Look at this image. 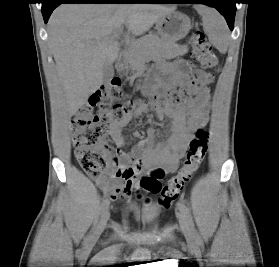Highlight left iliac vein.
<instances>
[{
    "label": "left iliac vein",
    "instance_id": "1",
    "mask_svg": "<svg viewBox=\"0 0 279 267\" xmlns=\"http://www.w3.org/2000/svg\"><path fill=\"white\" fill-rule=\"evenodd\" d=\"M178 219H179V224H180V227H181V230L184 234V236L186 237V239L190 242L193 241V233L189 227V224L188 222L185 220V217L182 213H180L178 215Z\"/></svg>",
    "mask_w": 279,
    "mask_h": 267
}]
</instances>
